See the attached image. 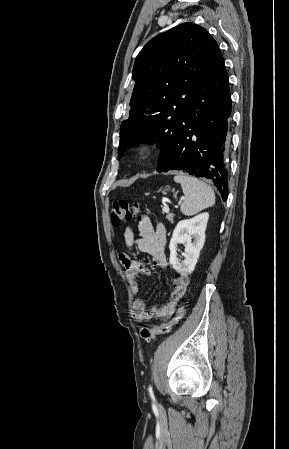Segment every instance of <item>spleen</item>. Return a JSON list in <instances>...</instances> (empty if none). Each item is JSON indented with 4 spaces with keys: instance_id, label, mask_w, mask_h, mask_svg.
<instances>
[{
    "instance_id": "obj_1",
    "label": "spleen",
    "mask_w": 289,
    "mask_h": 449,
    "mask_svg": "<svg viewBox=\"0 0 289 449\" xmlns=\"http://www.w3.org/2000/svg\"><path fill=\"white\" fill-rule=\"evenodd\" d=\"M174 181L181 185L185 195V200L180 207L184 215L192 216L215 204L214 191L205 182L185 173L176 174Z\"/></svg>"
}]
</instances>
